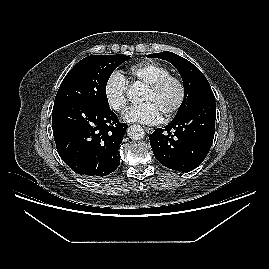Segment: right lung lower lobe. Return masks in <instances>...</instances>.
<instances>
[{
    "label": "right lung lower lobe",
    "instance_id": "98d812e1",
    "mask_svg": "<svg viewBox=\"0 0 269 269\" xmlns=\"http://www.w3.org/2000/svg\"><path fill=\"white\" fill-rule=\"evenodd\" d=\"M52 127L57 151L75 173L98 179L120 164L118 149L127 125L110 108L78 102L55 104Z\"/></svg>",
    "mask_w": 269,
    "mask_h": 269
}]
</instances>
